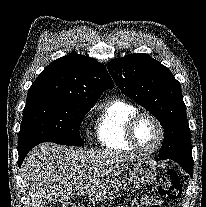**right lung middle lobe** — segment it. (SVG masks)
<instances>
[{
  "label": "right lung middle lobe",
  "instance_id": "dd1d6c3e",
  "mask_svg": "<svg viewBox=\"0 0 206 207\" xmlns=\"http://www.w3.org/2000/svg\"><path fill=\"white\" fill-rule=\"evenodd\" d=\"M93 106L55 98L26 102L19 132V152L42 142L83 146L79 127Z\"/></svg>",
  "mask_w": 206,
  "mask_h": 207
}]
</instances>
